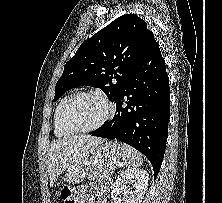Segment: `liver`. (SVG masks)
Listing matches in <instances>:
<instances>
[{"label":"liver","instance_id":"obj_1","mask_svg":"<svg viewBox=\"0 0 222 203\" xmlns=\"http://www.w3.org/2000/svg\"><path fill=\"white\" fill-rule=\"evenodd\" d=\"M104 140L90 135H78L54 140L48 149V174L50 185L75 161H80L90 150Z\"/></svg>","mask_w":222,"mask_h":203}]
</instances>
